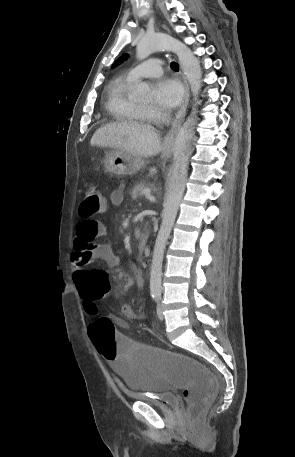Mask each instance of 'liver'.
Segmentation results:
<instances>
[{
    "label": "liver",
    "instance_id": "obj_1",
    "mask_svg": "<svg viewBox=\"0 0 295 457\" xmlns=\"http://www.w3.org/2000/svg\"><path fill=\"white\" fill-rule=\"evenodd\" d=\"M91 146L123 150L143 158L158 154L162 150L158 131L149 124L133 121L115 122L100 127L91 138ZM155 167L149 174H156Z\"/></svg>",
    "mask_w": 295,
    "mask_h": 457
}]
</instances>
